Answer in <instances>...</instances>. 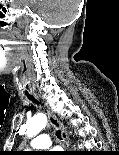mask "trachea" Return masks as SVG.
<instances>
[{
	"label": "trachea",
	"instance_id": "1",
	"mask_svg": "<svg viewBox=\"0 0 119 155\" xmlns=\"http://www.w3.org/2000/svg\"><path fill=\"white\" fill-rule=\"evenodd\" d=\"M24 96H28L30 100H32L34 103H37V100L32 95H29V90H24ZM56 136L58 139L62 140L60 131H56Z\"/></svg>",
	"mask_w": 119,
	"mask_h": 155
}]
</instances>
